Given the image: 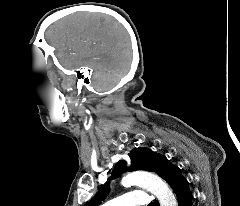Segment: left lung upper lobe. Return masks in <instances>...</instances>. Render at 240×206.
I'll return each mask as SVG.
<instances>
[{
    "label": "left lung upper lobe",
    "mask_w": 240,
    "mask_h": 206,
    "mask_svg": "<svg viewBox=\"0 0 240 206\" xmlns=\"http://www.w3.org/2000/svg\"><path fill=\"white\" fill-rule=\"evenodd\" d=\"M131 166L126 167V161L120 160L114 167L112 175L119 177L125 171L145 170L157 173L164 179L168 168L172 165L163 155L157 154L147 148H135L129 153ZM110 179L108 180V182ZM109 184L102 185L96 196L84 206H98L106 198L109 192Z\"/></svg>",
    "instance_id": "obj_1"
}]
</instances>
